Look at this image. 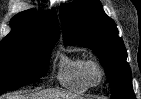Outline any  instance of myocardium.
I'll list each match as a JSON object with an SVG mask.
<instances>
[{
    "instance_id": "1",
    "label": "myocardium",
    "mask_w": 141,
    "mask_h": 99,
    "mask_svg": "<svg viewBox=\"0 0 141 99\" xmlns=\"http://www.w3.org/2000/svg\"><path fill=\"white\" fill-rule=\"evenodd\" d=\"M92 69H96L98 71L99 78L96 81H94L91 78V70ZM83 76H84L86 82L91 87H94V86H98L99 84L102 83V81L104 80V77H105V71H104V68H103L102 64L98 60L89 59L84 64Z\"/></svg>"
}]
</instances>
